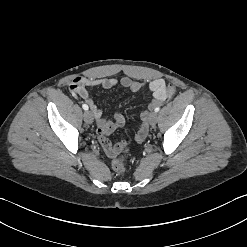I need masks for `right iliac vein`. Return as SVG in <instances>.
Here are the masks:
<instances>
[{
	"mask_svg": "<svg viewBox=\"0 0 247 247\" xmlns=\"http://www.w3.org/2000/svg\"><path fill=\"white\" fill-rule=\"evenodd\" d=\"M84 117V121L87 123V124H91L93 122V113L91 111H86L83 115Z\"/></svg>",
	"mask_w": 247,
	"mask_h": 247,
	"instance_id": "right-iliac-vein-1",
	"label": "right iliac vein"
}]
</instances>
